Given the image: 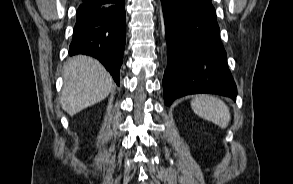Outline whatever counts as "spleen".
I'll return each mask as SVG.
<instances>
[{
	"label": "spleen",
	"instance_id": "obj_1",
	"mask_svg": "<svg viewBox=\"0 0 293 184\" xmlns=\"http://www.w3.org/2000/svg\"><path fill=\"white\" fill-rule=\"evenodd\" d=\"M193 111L201 118L209 120L221 128H226L231 114L228 106L220 99L210 95H197L191 101Z\"/></svg>",
	"mask_w": 293,
	"mask_h": 184
}]
</instances>
